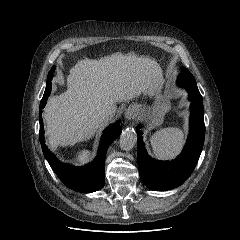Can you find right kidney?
<instances>
[{
	"label": "right kidney",
	"instance_id": "ca27d5eb",
	"mask_svg": "<svg viewBox=\"0 0 240 240\" xmlns=\"http://www.w3.org/2000/svg\"><path fill=\"white\" fill-rule=\"evenodd\" d=\"M89 156H90V152L84 150L79 154L78 159L83 161V160H86Z\"/></svg>",
	"mask_w": 240,
	"mask_h": 240
}]
</instances>
